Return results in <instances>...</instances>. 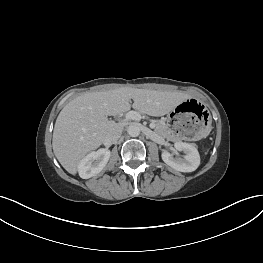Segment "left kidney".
Listing matches in <instances>:
<instances>
[{"mask_svg": "<svg viewBox=\"0 0 263 263\" xmlns=\"http://www.w3.org/2000/svg\"><path fill=\"white\" fill-rule=\"evenodd\" d=\"M177 151H183V158H176L170 152L164 151L162 153V160L180 172H192L195 171L200 165V155L198 150L193 144L177 141L174 144Z\"/></svg>", "mask_w": 263, "mask_h": 263, "instance_id": "1", "label": "left kidney"}]
</instances>
